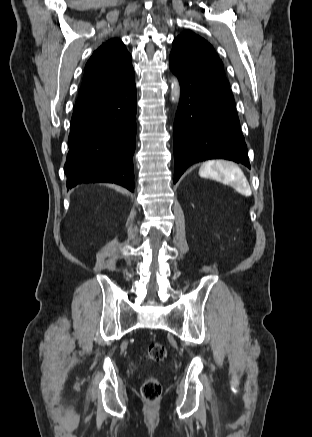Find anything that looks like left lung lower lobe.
<instances>
[{
  "label": "left lung lower lobe",
  "mask_w": 312,
  "mask_h": 437,
  "mask_svg": "<svg viewBox=\"0 0 312 437\" xmlns=\"http://www.w3.org/2000/svg\"><path fill=\"white\" fill-rule=\"evenodd\" d=\"M169 67L181 89L173 127L174 183L190 165L208 159L232 160L250 168L230 88L172 54Z\"/></svg>",
  "instance_id": "1"
}]
</instances>
